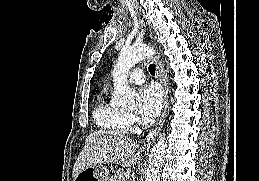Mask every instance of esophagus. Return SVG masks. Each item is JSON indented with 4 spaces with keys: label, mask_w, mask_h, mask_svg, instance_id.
I'll return each mask as SVG.
<instances>
[{
    "label": "esophagus",
    "mask_w": 259,
    "mask_h": 181,
    "mask_svg": "<svg viewBox=\"0 0 259 181\" xmlns=\"http://www.w3.org/2000/svg\"><path fill=\"white\" fill-rule=\"evenodd\" d=\"M155 61H156V64H157V75H158L159 80H160V82L163 86V93H164L163 112H162V115H161L159 121L157 122V125L155 126V128L152 129L148 133L146 138L143 140V142L141 144V148H143V149L149 148L154 143L156 137L158 136V134H159V132L162 128V125H163L165 117H166L167 108H168V82H167V77L165 75L163 65H162L161 61L159 60V58H156Z\"/></svg>",
    "instance_id": "1"
}]
</instances>
